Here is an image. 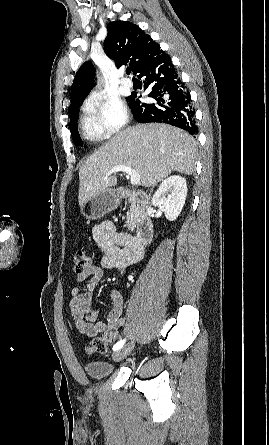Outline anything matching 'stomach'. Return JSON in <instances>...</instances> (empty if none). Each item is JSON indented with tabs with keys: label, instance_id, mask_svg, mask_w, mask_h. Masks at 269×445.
<instances>
[{
	"label": "stomach",
	"instance_id": "stomach-1",
	"mask_svg": "<svg viewBox=\"0 0 269 445\" xmlns=\"http://www.w3.org/2000/svg\"><path fill=\"white\" fill-rule=\"evenodd\" d=\"M121 202L119 191L106 189L80 206L81 213L88 219L96 220L116 209Z\"/></svg>",
	"mask_w": 269,
	"mask_h": 445
}]
</instances>
